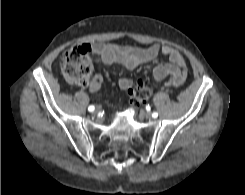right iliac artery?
I'll return each instance as SVG.
<instances>
[{
    "mask_svg": "<svg viewBox=\"0 0 245 195\" xmlns=\"http://www.w3.org/2000/svg\"><path fill=\"white\" fill-rule=\"evenodd\" d=\"M94 109H95V107L93 105H91V106L88 107V111H90V112H93Z\"/></svg>",
    "mask_w": 245,
    "mask_h": 195,
    "instance_id": "obj_1",
    "label": "right iliac artery"
}]
</instances>
